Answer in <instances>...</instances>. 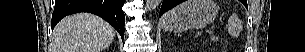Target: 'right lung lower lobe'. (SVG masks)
<instances>
[{
  "label": "right lung lower lobe",
  "instance_id": "98d812e1",
  "mask_svg": "<svg viewBox=\"0 0 305 52\" xmlns=\"http://www.w3.org/2000/svg\"><path fill=\"white\" fill-rule=\"evenodd\" d=\"M125 0H56L52 16V29L65 16L77 12H89L106 20L124 38L125 16L122 6Z\"/></svg>",
  "mask_w": 305,
  "mask_h": 52
}]
</instances>
